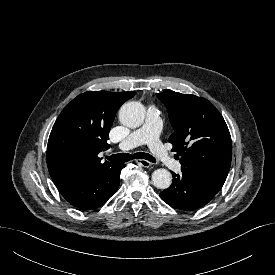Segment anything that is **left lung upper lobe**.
I'll use <instances>...</instances> for the list:
<instances>
[{
    "label": "left lung upper lobe",
    "instance_id": "1",
    "mask_svg": "<svg viewBox=\"0 0 275 275\" xmlns=\"http://www.w3.org/2000/svg\"><path fill=\"white\" fill-rule=\"evenodd\" d=\"M166 106L174 132L169 137L181 170L224 183L231 165L228 127L212 103L171 90L157 94Z\"/></svg>",
    "mask_w": 275,
    "mask_h": 275
}]
</instances>
